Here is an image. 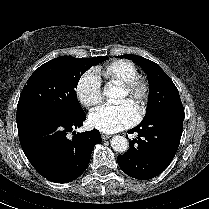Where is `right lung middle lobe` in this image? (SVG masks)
Masks as SVG:
<instances>
[{"label":"right lung middle lobe","mask_w":209,"mask_h":209,"mask_svg":"<svg viewBox=\"0 0 209 209\" xmlns=\"http://www.w3.org/2000/svg\"><path fill=\"white\" fill-rule=\"evenodd\" d=\"M108 59L60 56L37 68L24 86L17 106V127L46 115L83 111L76 95L78 81L89 68Z\"/></svg>","instance_id":"dd1d6c3e"}]
</instances>
